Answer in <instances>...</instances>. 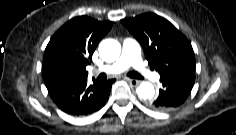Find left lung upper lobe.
<instances>
[{
	"instance_id": "obj_1",
	"label": "left lung upper lobe",
	"mask_w": 236,
	"mask_h": 135,
	"mask_svg": "<svg viewBox=\"0 0 236 135\" xmlns=\"http://www.w3.org/2000/svg\"><path fill=\"white\" fill-rule=\"evenodd\" d=\"M143 47L151 69L162 76L195 75V55L188 39L168 20L145 13L121 20Z\"/></svg>"
}]
</instances>
